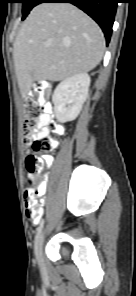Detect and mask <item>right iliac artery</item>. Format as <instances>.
<instances>
[{
	"mask_svg": "<svg viewBox=\"0 0 136 296\" xmlns=\"http://www.w3.org/2000/svg\"><path fill=\"white\" fill-rule=\"evenodd\" d=\"M45 224V221L44 220H41V223L40 225L38 226L37 228V234L35 236V255H36V258L38 259V252H37V241H38V238H39V234L41 233V230L43 228V225Z\"/></svg>",
	"mask_w": 136,
	"mask_h": 296,
	"instance_id": "82829eb1",
	"label": "right iliac artery"
}]
</instances>
